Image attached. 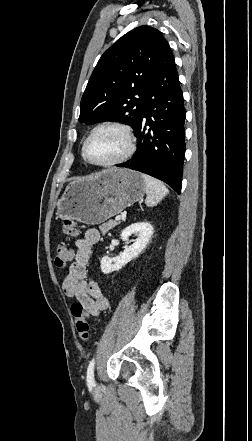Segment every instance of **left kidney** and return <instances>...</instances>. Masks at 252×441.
<instances>
[{
	"label": "left kidney",
	"instance_id": "1",
	"mask_svg": "<svg viewBox=\"0 0 252 441\" xmlns=\"http://www.w3.org/2000/svg\"><path fill=\"white\" fill-rule=\"evenodd\" d=\"M135 234L137 238L133 244L126 246L124 251L115 258L103 256L101 259V271L104 274H109L113 271L120 270L132 259L136 258L149 243L153 234V227L149 222H137L125 228L121 233V239L128 243L129 237Z\"/></svg>",
	"mask_w": 252,
	"mask_h": 441
}]
</instances>
